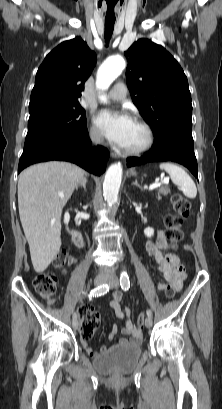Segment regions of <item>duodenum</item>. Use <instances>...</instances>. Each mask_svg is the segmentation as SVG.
Wrapping results in <instances>:
<instances>
[{"label": "duodenum", "mask_w": 222, "mask_h": 409, "mask_svg": "<svg viewBox=\"0 0 222 409\" xmlns=\"http://www.w3.org/2000/svg\"><path fill=\"white\" fill-rule=\"evenodd\" d=\"M72 241L78 247L84 246V238L82 233L78 229H73L71 234Z\"/></svg>", "instance_id": "410a0bca"}]
</instances>
